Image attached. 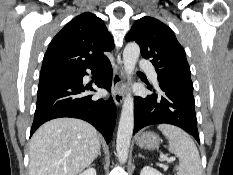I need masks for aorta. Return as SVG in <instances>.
I'll return each instance as SVG.
<instances>
[{"mask_svg":"<svg viewBox=\"0 0 233 175\" xmlns=\"http://www.w3.org/2000/svg\"><path fill=\"white\" fill-rule=\"evenodd\" d=\"M140 55L138 44L130 42L123 51V65L128 80L134 73ZM134 128V101L131 94H127L123 101L116 140L117 156L120 162L125 163L128 158L130 142Z\"/></svg>","mask_w":233,"mask_h":175,"instance_id":"1","label":"aorta"}]
</instances>
